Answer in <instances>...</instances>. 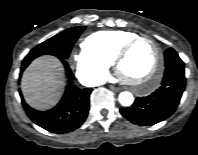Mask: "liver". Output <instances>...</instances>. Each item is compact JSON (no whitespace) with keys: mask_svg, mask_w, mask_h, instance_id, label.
Here are the masks:
<instances>
[{"mask_svg":"<svg viewBox=\"0 0 198 155\" xmlns=\"http://www.w3.org/2000/svg\"><path fill=\"white\" fill-rule=\"evenodd\" d=\"M64 86V68L53 56L35 59L24 71L21 79L25 101L38 110L55 106L63 94Z\"/></svg>","mask_w":198,"mask_h":155,"instance_id":"1","label":"liver"}]
</instances>
